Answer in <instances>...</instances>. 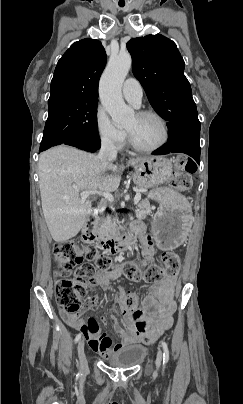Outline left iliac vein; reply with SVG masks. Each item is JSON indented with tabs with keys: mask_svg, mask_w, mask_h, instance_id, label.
Here are the masks:
<instances>
[{
	"mask_svg": "<svg viewBox=\"0 0 243 404\" xmlns=\"http://www.w3.org/2000/svg\"><path fill=\"white\" fill-rule=\"evenodd\" d=\"M162 357H163V353H162V350L159 348L158 353H157V358H156V366H157V368H159L160 365H161Z\"/></svg>",
	"mask_w": 243,
	"mask_h": 404,
	"instance_id": "4c4485c4",
	"label": "left iliac vein"
}]
</instances>
